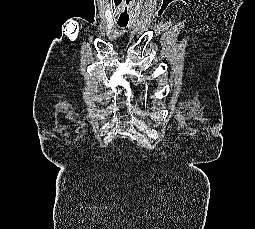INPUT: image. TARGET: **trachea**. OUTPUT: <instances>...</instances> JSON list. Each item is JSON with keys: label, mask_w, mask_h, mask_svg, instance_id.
Here are the masks:
<instances>
[{"label": "trachea", "mask_w": 255, "mask_h": 229, "mask_svg": "<svg viewBox=\"0 0 255 229\" xmlns=\"http://www.w3.org/2000/svg\"><path fill=\"white\" fill-rule=\"evenodd\" d=\"M120 27H125L127 25V23H119L118 24Z\"/></svg>", "instance_id": "obj_1"}]
</instances>
